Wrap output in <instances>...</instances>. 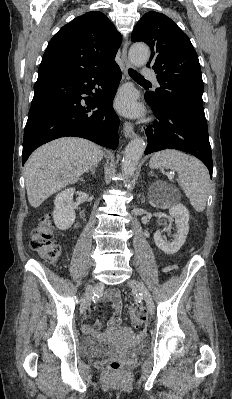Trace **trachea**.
Instances as JSON below:
<instances>
[{
    "instance_id": "obj_1",
    "label": "trachea",
    "mask_w": 232,
    "mask_h": 399,
    "mask_svg": "<svg viewBox=\"0 0 232 399\" xmlns=\"http://www.w3.org/2000/svg\"><path fill=\"white\" fill-rule=\"evenodd\" d=\"M128 71H129L130 77H132L134 80H144V81L148 82V80H146L144 77H142V75H140V73H138L136 70H133V68H130Z\"/></svg>"
}]
</instances>
